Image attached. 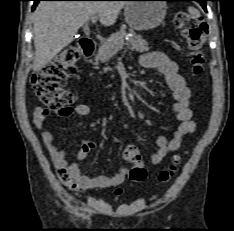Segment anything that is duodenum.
Segmentation results:
<instances>
[{"label": "duodenum", "instance_id": "1", "mask_svg": "<svg viewBox=\"0 0 234 231\" xmlns=\"http://www.w3.org/2000/svg\"><path fill=\"white\" fill-rule=\"evenodd\" d=\"M96 49V44L91 39H82L79 42V50L84 57H91Z\"/></svg>", "mask_w": 234, "mask_h": 231}]
</instances>
